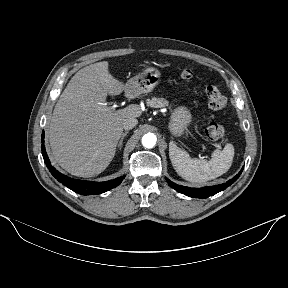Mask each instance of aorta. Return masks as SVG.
<instances>
[{
  "mask_svg": "<svg viewBox=\"0 0 288 288\" xmlns=\"http://www.w3.org/2000/svg\"><path fill=\"white\" fill-rule=\"evenodd\" d=\"M157 138L153 133H147L142 137V145L145 148H153L156 144Z\"/></svg>",
  "mask_w": 288,
  "mask_h": 288,
  "instance_id": "1",
  "label": "aorta"
}]
</instances>
